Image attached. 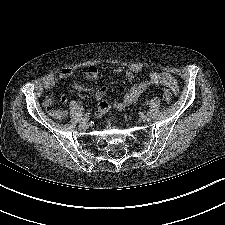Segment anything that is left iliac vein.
<instances>
[{
	"instance_id": "4c4485c4",
	"label": "left iliac vein",
	"mask_w": 225,
	"mask_h": 225,
	"mask_svg": "<svg viewBox=\"0 0 225 225\" xmlns=\"http://www.w3.org/2000/svg\"><path fill=\"white\" fill-rule=\"evenodd\" d=\"M141 119H142L144 122H148V121L151 120V115H150V114L141 115Z\"/></svg>"
}]
</instances>
